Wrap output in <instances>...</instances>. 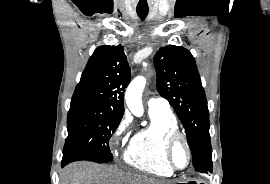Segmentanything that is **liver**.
Here are the masks:
<instances>
[{
	"mask_svg": "<svg viewBox=\"0 0 270 184\" xmlns=\"http://www.w3.org/2000/svg\"><path fill=\"white\" fill-rule=\"evenodd\" d=\"M60 184H169L136 173L122 171L114 166L92 162H74L67 165Z\"/></svg>",
	"mask_w": 270,
	"mask_h": 184,
	"instance_id": "1",
	"label": "liver"
}]
</instances>
